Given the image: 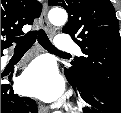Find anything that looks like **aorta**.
Here are the masks:
<instances>
[{"instance_id":"762f6f07","label":"aorta","mask_w":121,"mask_h":113,"mask_svg":"<svg viewBox=\"0 0 121 113\" xmlns=\"http://www.w3.org/2000/svg\"><path fill=\"white\" fill-rule=\"evenodd\" d=\"M49 21L55 26L64 25L67 21V13L65 10L60 8H53L48 14ZM56 113H61L57 111Z\"/></svg>"}]
</instances>
